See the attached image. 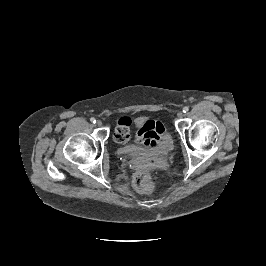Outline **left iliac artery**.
I'll use <instances>...</instances> for the list:
<instances>
[{"label": "left iliac artery", "instance_id": "obj_1", "mask_svg": "<svg viewBox=\"0 0 266 266\" xmlns=\"http://www.w3.org/2000/svg\"><path fill=\"white\" fill-rule=\"evenodd\" d=\"M188 111H189V107L185 106V107L183 108V112H184V113H187Z\"/></svg>", "mask_w": 266, "mask_h": 266}]
</instances>
